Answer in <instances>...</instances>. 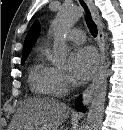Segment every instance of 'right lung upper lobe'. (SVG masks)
Here are the masks:
<instances>
[{"label": "right lung upper lobe", "instance_id": "cb5924a9", "mask_svg": "<svg viewBox=\"0 0 123 130\" xmlns=\"http://www.w3.org/2000/svg\"><path fill=\"white\" fill-rule=\"evenodd\" d=\"M39 33H40V26H39L38 21H36L30 28V30L26 36L22 56H26L30 53L33 45L36 42V39L39 36Z\"/></svg>", "mask_w": 123, "mask_h": 130}]
</instances>
